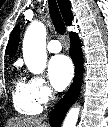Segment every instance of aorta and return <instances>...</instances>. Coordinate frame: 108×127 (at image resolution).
<instances>
[{
	"label": "aorta",
	"instance_id": "aorta-1",
	"mask_svg": "<svg viewBox=\"0 0 108 127\" xmlns=\"http://www.w3.org/2000/svg\"><path fill=\"white\" fill-rule=\"evenodd\" d=\"M23 58L28 70L34 74H41L47 63L46 53V27L43 23L32 22L23 39ZM79 107H73L66 115L62 127H75Z\"/></svg>",
	"mask_w": 108,
	"mask_h": 127
}]
</instances>
